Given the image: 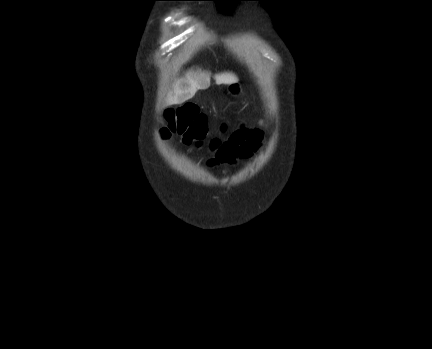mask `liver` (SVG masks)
<instances>
[{
	"instance_id": "1",
	"label": "liver",
	"mask_w": 432,
	"mask_h": 349,
	"mask_svg": "<svg viewBox=\"0 0 432 349\" xmlns=\"http://www.w3.org/2000/svg\"><path fill=\"white\" fill-rule=\"evenodd\" d=\"M217 85L231 84L238 81L232 73H221L215 75ZM210 85V74L205 71L193 69L189 70L184 77L176 80L172 85V91L168 93L167 105L182 104L194 97L200 89H205Z\"/></svg>"
}]
</instances>
